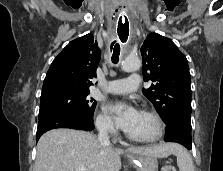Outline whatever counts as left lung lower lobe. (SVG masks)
<instances>
[{
    "instance_id": "1",
    "label": "left lung lower lobe",
    "mask_w": 223,
    "mask_h": 171,
    "mask_svg": "<svg viewBox=\"0 0 223 171\" xmlns=\"http://www.w3.org/2000/svg\"><path fill=\"white\" fill-rule=\"evenodd\" d=\"M166 125L165 142H176L187 149H192L191 124L182 120H174Z\"/></svg>"
}]
</instances>
